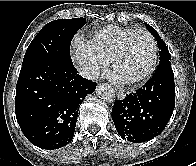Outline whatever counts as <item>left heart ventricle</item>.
I'll return each mask as SVG.
<instances>
[{"mask_svg":"<svg viewBox=\"0 0 196 166\" xmlns=\"http://www.w3.org/2000/svg\"><path fill=\"white\" fill-rule=\"evenodd\" d=\"M152 46L144 33H136L131 38L127 51L116 68V74L129 81L140 76L150 65Z\"/></svg>","mask_w":196,"mask_h":166,"instance_id":"left-heart-ventricle-1","label":"left heart ventricle"}]
</instances>
